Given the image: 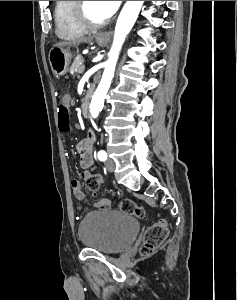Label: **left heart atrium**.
I'll list each match as a JSON object with an SVG mask.
<instances>
[{
  "mask_svg": "<svg viewBox=\"0 0 237 300\" xmlns=\"http://www.w3.org/2000/svg\"><path fill=\"white\" fill-rule=\"evenodd\" d=\"M102 3H103V6L105 7L106 11L111 16L119 8L121 1H102Z\"/></svg>",
  "mask_w": 237,
  "mask_h": 300,
  "instance_id": "39dd6f15",
  "label": "left heart atrium"
}]
</instances>
